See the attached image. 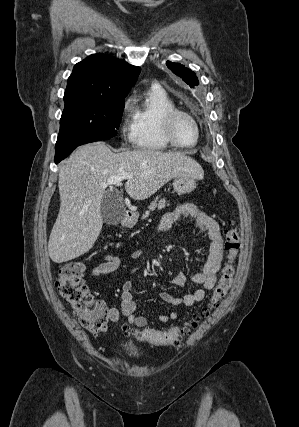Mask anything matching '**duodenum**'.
<instances>
[{
	"mask_svg": "<svg viewBox=\"0 0 299 427\" xmlns=\"http://www.w3.org/2000/svg\"><path fill=\"white\" fill-rule=\"evenodd\" d=\"M133 218V212L131 210H128L125 214V218L123 220L124 225H129L131 223V220Z\"/></svg>",
	"mask_w": 299,
	"mask_h": 427,
	"instance_id": "410a0bca",
	"label": "duodenum"
}]
</instances>
